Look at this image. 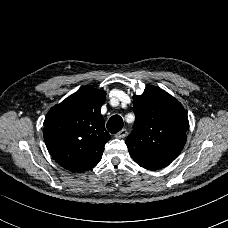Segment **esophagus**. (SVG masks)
I'll list each match as a JSON object with an SVG mask.
<instances>
[{
	"instance_id": "obj_1",
	"label": "esophagus",
	"mask_w": 228,
	"mask_h": 228,
	"mask_svg": "<svg viewBox=\"0 0 228 228\" xmlns=\"http://www.w3.org/2000/svg\"><path fill=\"white\" fill-rule=\"evenodd\" d=\"M127 134H128V131L125 128H123L122 130H120L119 132H117L115 134V137L118 138V139H120V138L126 137Z\"/></svg>"
}]
</instances>
